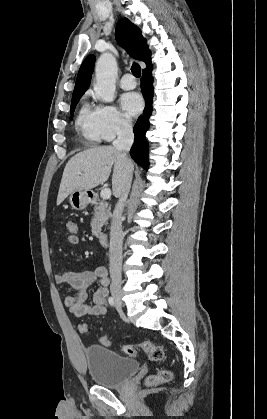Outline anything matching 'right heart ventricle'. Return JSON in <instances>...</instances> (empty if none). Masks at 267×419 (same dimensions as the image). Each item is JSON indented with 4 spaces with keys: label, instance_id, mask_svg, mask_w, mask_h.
Here are the masks:
<instances>
[{
    "label": "right heart ventricle",
    "instance_id": "obj_1",
    "mask_svg": "<svg viewBox=\"0 0 267 419\" xmlns=\"http://www.w3.org/2000/svg\"><path fill=\"white\" fill-rule=\"evenodd\" d=\"M76 128L81 136L88 142L95 144L102 140L97 108L92 107L89 103L84 102L76 117Z\"/></svg>",
    "mask_w": 267,
    "mask_h": 419
}]
</instances>
